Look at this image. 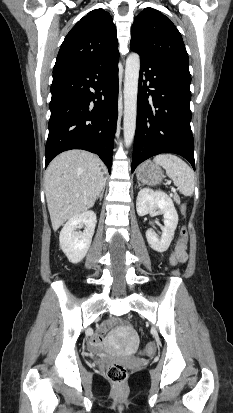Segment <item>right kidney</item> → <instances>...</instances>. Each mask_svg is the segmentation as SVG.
<instances>
[{"mask_svg": "<svg viewBox=\"0 0 233 413\" xmlns=\"http://www.w3.org/2000/svg\"><path fill=\"white\" fill-rule=\"evenodd\" d=\"M96 214L89 210L69 219L59 236L60 247L72 263H79L86 256L92 241ZM85 226L83 233H75L77 226Z\"/></svg>", "mask_w": 233, "mask_h": 413, "instance_id": "obj_1", "label": "right kidney"}]
</instances>
